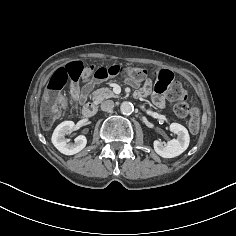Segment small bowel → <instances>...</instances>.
<instances>
[{"label":"small bowel","mask_w":236,"mask_h":236,"mask_svg":"<svg viewBox=\"0 0 236 236\" xmlns=\"http://www.w3.org/2000/svg\"><path fill=\"white\" fill-rule=\"evenodd\" d=\"M162 70H158L155 72V76H156V82L159 79L160 73ZM94 87V82L89 81L87 82L81 89L77 88L76 90L72 89L71 90V96L74 100L79 101L80 103H84L87 100V97L89 95V93L91 92V90ZM151 91V81L147 80L143 86L138 90V95L139 96H147ZM152 100L154 102L155 105H157L158 107H164L165 105V97H164V93L163 92H153V96H152ZM65 105H66V101L64 100Z\"/></svg>","instance_id":"1"}]
</instances>
